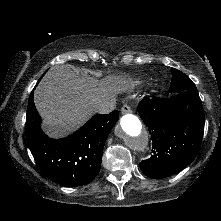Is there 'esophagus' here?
<instances>
[{"label":"esophagus","instance_id":"1","mask_svg":"<svg viewBox=\"0 0 221 221\" xmlns=\"http://www.w3.org/2000/svg\"><path fill=\"white\" fill-rule=\"evenodd\" d=\"M121 112L122 114H127V113H131L132 110H131V107L127 104H124L121 108Z\"/></svg>","mask_w":221,"mask_h":221}]
</instances>
